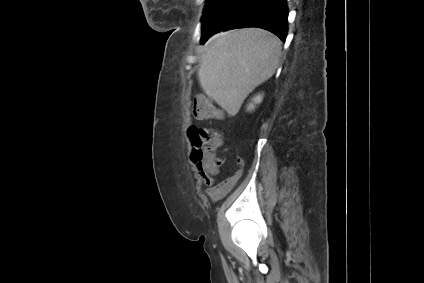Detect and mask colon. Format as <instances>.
I'll use <instances>...</instances> for the list:
<instances>
[{
    "label": "colon",
    "mask_w": 424,
    "mask_h": 283,
    "mask_svg": "<svg viewBox=\"0 0 424 283\" xmlns=\"http://www.w3.org/2000/svg\"><path fill=\"white\" fill-rule=\"evenodd\" d=\"M191 112L196 119L200 120L220 117V112L205 97H199L194 101ZM189 136L194 144L192 160L209 167H216L218 158L215 151L223 144L222 134L212 128L192 127Z\"/></svg>",
    "instance_id": "1"
}]
</instances>
